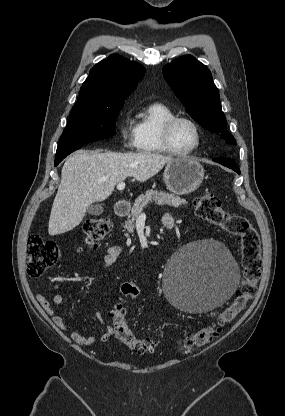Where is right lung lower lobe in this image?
I'll list each match as a JSON object with an SVG mask.
<instances>
[{"instance_id": "1", "label": "right lung lower lobe", "mask_w": 285, "mask_h": 416, "mask_svg": "<svg viewBox=\"0 0 285 416\" xmlns=\"http://www.w3.org/2000/svg\"><path fill=\"white\" fill-rule=\"evenodd\" d=\"M87 143L89 142L73 143V144L59 146L56 151L54 166H57L67 155H69L73 151L80 149L83 145Z\"/></svg>"}]
</instances>
